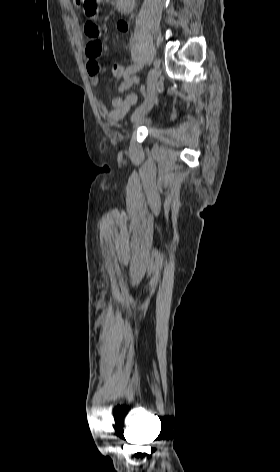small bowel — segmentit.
Returning <instances> with one entry per match:
<instances>
[{"label":"small bowel","instance_id":"obj_1","mask_svg":"<svg viewBox=\"0 0 280 472\" xmlns=\"http://www.w3.org/2000/svg\"><path fill=\"white\" fill-rule=\"evenodd\" d=\"M135 5L134 0H117L116 9L122 14H129ZM118 30L126 32L129 28L128 23L125 20H119L117 23ZM84 34L88 38V43L86 45V56H87V71L93 85H97L99 81L100 74V63L99 59L102 52V44L99 40L100 37V28L98 24L89 19L84 24ZM135 82H138V79L135 78ZM130 86L126 82H122L119 87V92H124L128 90ZM137 102V96L130 94L124 97H116L112 101L113 109L107 111L102 103H99L100 110L112 123L120 121L128 110Z\"/></svg>","mask_w":280,"mask_h":472}]
</instances>
